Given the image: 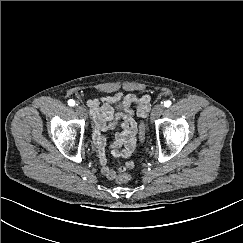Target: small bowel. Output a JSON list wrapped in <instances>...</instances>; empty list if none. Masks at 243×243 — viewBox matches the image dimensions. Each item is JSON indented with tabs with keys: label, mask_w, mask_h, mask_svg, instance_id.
<instances>
[{
	"label": "small bowel",
	"mask_w": 243,
	"mask_h": 243,
	"mask_svg": "<svg viewBox=\"0 0 243 243\" xmlns=\"http://www.w3.org/2000/svg\"><path fill=\"white\" fill-rule=\"evenodd\" d=\"M150 100L149 95L117 93L87 101L95 126L93 143L101 164V173L107 179L115 180L119 171L107 166L106 139L102 132L114 129L119 124L122 130L115 134V142L110 148V153L115 158L130 157L136 150L138 135L140 137L135 115L146 117L151 106ZM131 105H135L136 111L130 108Z\"/></svg>",
	"instance_id": "1"
}]
</instances>
